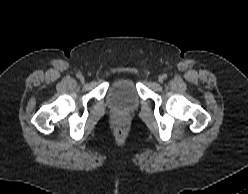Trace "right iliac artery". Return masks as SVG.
<instances>
[{
	"instance_id": "1",
	"label": "right iliac artery",
	"mask_w": 248,
	"mask_h": 194,
	"mask_svg": "<svg viewBox=\"0 0 248 194\" xmlns=\"http://www.w3.org/2000/svg\"><path fill=\"white\" fill-rule=\"evenodd\" d=\"M76 76H77L78 78H80V77L82 76V74H81V73H77Z\"/></svg>"
}]
</instances>
